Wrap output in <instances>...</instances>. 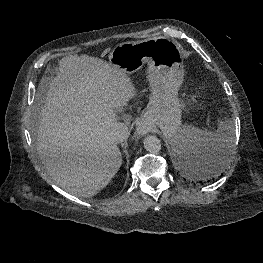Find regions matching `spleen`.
I'll use <instances>...</instances> for the list:
<instances>
[{"label": "spleen", "instance_id": "obj_1", "mask_svg": "<svg viewBox=\"0 0 263 263\" xmlns=\"http://www.w3.org/2000/svg\"><path fill=\"white\" fill-rule=\"evenodd\" d=\"M170 143L174 152L181 150L186 153H195L209 145L221 146L224 156L216 171L217 174H220L227 167L231 152L235 147V132L232 124L225 121L218 122V129L215 132L184 125L179 128Z\"/></svg>", "mask_w": 263, "mask_h": 263}]
</instances>
